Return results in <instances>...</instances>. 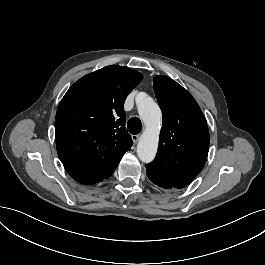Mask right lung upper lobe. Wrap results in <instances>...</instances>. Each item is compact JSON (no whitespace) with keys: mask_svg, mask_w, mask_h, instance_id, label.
Here are the masks:
<instances>
[{"mask_svg":"<svg viewBox=\"0 0 265 265\" xmlns=\"http://www.w3.org/2000/svg\"><path fill=\"white\" fill-rule=\"evenodd\" d=\"M142 75L123 66H106L75 82L62 98L55 120L61 161L111 162L130 150L124 101Z\"/></svg>","mask_w":265,"mask_h":265,"instance_id":"obj_1","label":"right lung upper lobe"}]
</instances>
